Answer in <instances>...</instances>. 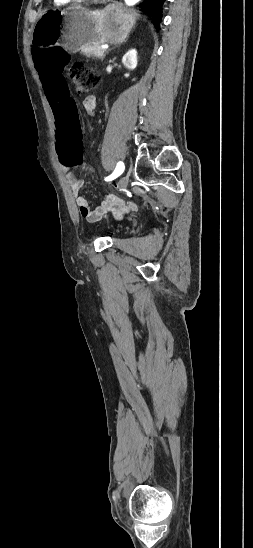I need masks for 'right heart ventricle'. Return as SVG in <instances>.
<instances>
[{
	"label": "right heart ventricle",
	"instance_id": "e07e8e85",
	"mask_svg": "<svg viewBox=\"0 0 253 548\" xmlns=\"http://www.w3.org/2000/svg\"><path fill=\"white\" fill-rule=\"evenodd\" d=\"M56 5L68 4L71 0H53Z\"/></svg>",
	"mask_w": 253,
	"mask_h": 548
}]
</instances>
